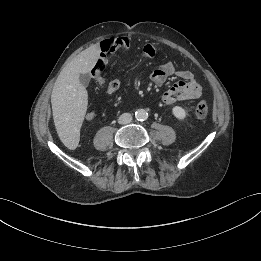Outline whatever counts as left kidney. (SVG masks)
<instances>
[{
	"label": "left kidney",
	"mask_w": 261,
	"mask_h": 261,
	"mask_svg": "<svg viewBox=\"0 0 261 261\" xmlns=\"http://www.w3.org/2000/svg\"><path fill=\"white\" fill-rule=\"evenodd\" d=\"M172 113L179 120H183L187 116V112L185 111V109L180 106L173 107Z\"/></svg>",
	"instance_id": "1"
}]
</instances>
